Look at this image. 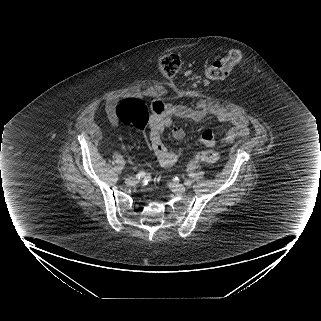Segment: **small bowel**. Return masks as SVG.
<instances>
[{
  "label": "small bowel",
  "instance_id": "c3829d8e",
  "mask_svg": "<svg viewBox=\"0 0 321 321\" xmlns=\"http://www.w3.org/2000/svg\"><path fill=\"white\" fill-rule=\"evenodd\" d=\"M116 103L117 99L114 97L110 98L106 103L108 117L114 125L118 124L115 111ZM150 111L148 133L152 151L163 167H170L179 160L183 151L171 150L166 147L162 139L164 130L171 126L175 118L200 122L207 116V111L203 108L197 109L189 106L168 104L161 100H153L150 103ZM215 116L219 122L231 124L232 127L219 140L211 130H205L200 136V141L204 145L213 147L218 141L222 144H230L249 133L248 122L242 115L221 110ZM172 137L176 140H182L185 137V131L181 127H174L172 129Z\"/></svg>",
  "mask_w": 321,
  "mask_h": 321
}]
</instances>
